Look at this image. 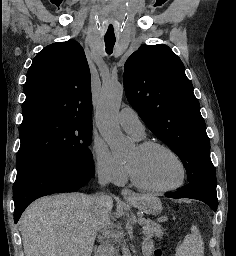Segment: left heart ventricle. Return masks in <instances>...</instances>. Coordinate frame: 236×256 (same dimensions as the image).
<instances>
[{"mask_svg": "<svg viewBox=\"0 0 236 256\" xmlns=\"http://www.w3.org/2000/svg\"><path fill=\"white\" fill-rule=\"evenodd\" d=\"M129 164L145 184L167 187L179 181L182 169L177 159L164 150L142 153L136 147L127 157Z\"/></svg>", "mask_w": 236, "mask_h": 256, "instance_id": "b2bd125f", "label": "left heart ventricle"}]
</instances>
